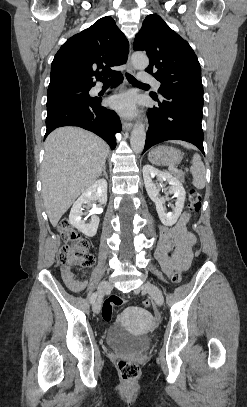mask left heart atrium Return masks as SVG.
<instances>
[{"instance_id":"1","label":"left heart atrium","mask_w":247,"mask_h":407,"mask_svg":"<svg viewBox=\"0 0 247 407\" xmlns=\"http://www.w3.org/2000/svg\"><path fill=\"white\" fill-rule=\"evenodd\" d=\"M110 105L123 115H131L136 109V99L131 94H122L113 97L110 101Z\"/></svg>"}]
</instances>
